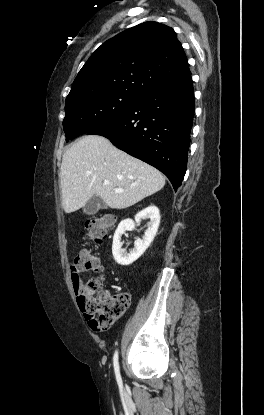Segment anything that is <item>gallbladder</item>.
I'll use <instances>...</instances> for the list:
<instances>
[{
    "label": "gallbladder",
    "mask_w": 264,
    "mask_h": 415,
    "mask_svg": "<svg viewBox=\"0 0 264 415\" xmlns=\"http://www.w3.org/2000/svg\"><path fill=\"white\" fill-rule=\"evenodd\" d=\"M105 208H107V206L104 201L98 196H93L83 207V212L87 215H94L96 212H98L99 209Z\"/></svg>",
    "instance_id": "obj_1"
}]
</instances>
